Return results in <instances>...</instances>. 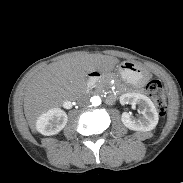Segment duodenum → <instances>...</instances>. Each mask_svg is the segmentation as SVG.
<instances>
[{"label": "duodenum", "mask_w": 183, "mask_h": 183, "mask_svg": "<svg viewBox=\"0 0 183 183\" xmlns=\"http://www.w3.org/2000/svg\"><path fill=\"white\" fill-rule=\"evenodd\" d=\"M101 78V72L98 70L91 71L88 74V79L90 83H96ZM111 100V98H109Z\"/></svg>", "instance_id": "obj_1"}]
</instances>
